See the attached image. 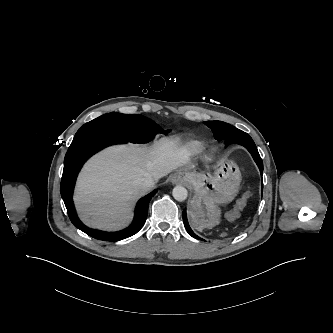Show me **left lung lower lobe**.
I'll list each match as a JSON object with an SVG mask.
<instances>
[{"mask_svg":"<svg viewBox=\"0 0 333 333\" xmlns=\"http://www.w3.org/2000/svg\"><path fill=\"white\" fill-rule=\"evenodd\" d=\"M233 138V137H231ZM236 138H241L243 139L242 142H239L237 144H240V145H243L244 147H246L248 149V151L251 153L253 159L255 160L256 164L258 165L259 169H260V172H261V175L263 174V162H262V159L258 153V150L256 148V145L255 143L253 142V140L251 139V137L244 133L243 131L240 132V135L239 137H236ZM230 143H233V142H229V141H226V146ZM262 189H263V183H262ZM183 222H184V226L187 230V232L194 238L196 239H200L202 240L200 237H198L190 228L189 224H188V221H187V216H186V211L184 210L183 211Z\"/></svg>","mask_w":333,"mask_h":333,"instance_id":"1","label":"left lung lower lobe"}]
</instances>
